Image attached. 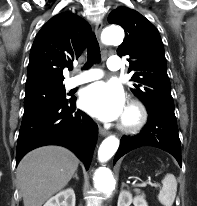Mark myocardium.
<instances>
[{"label":"myocardium","mask_w":197,"mask_h":206,"mask_svg":"<svg viewBox=\"0 0 197 206\" xmlns=\"http://www.w3.org/2000/svg\"><path fill=\"white\" fill-rule=\"evenodd\" d=\"M148 113L146 107L139 100H131L123 115L119 128L125 133H136L146 124Z\"/></svg>","instance_id":"obj_1"}]
</instances>
